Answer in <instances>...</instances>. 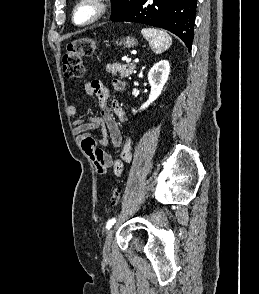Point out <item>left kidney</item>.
I'll list each match as a JSON object with an SVG mask.
<instances>
[{"label":"left kidney","mask_w":259,"mask_h":294,"mask_svg":"<svg viewBox=\"0 0 259 294\" xmlns=\"http://www.w3.org/2000/svg\"><path fill=\"white\" fill-rule=\"evenodd\" d=\"M170 74V64L167 60H161L156 63L148 73V81L151 85L149 99L141 106V109L147 108L161 94L165 83ZM133 112H136L133 109Z\"/></svg>","instance_id":"5707ae66"}]
</instances>
